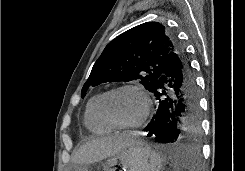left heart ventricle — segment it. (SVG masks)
<instances>
[{
	"mask_svg": "<svg viewBox=\"0 0 245 171\" xmlns=\"http://www.w3.org/2000/svg\"><path fill=\"white\" fill-rule=\"evenodd\" d=\"M106 111L118 123H134L143 114L144 100L135 90H122L112 94L108 98Z\"/></svg>",
	"mask_w": 245,
	"mask_h": 171,
	"instance_id": "left-heart-ventricle-1",
	"label": "left heart ventricle"
}]
</instances>
